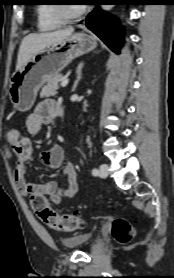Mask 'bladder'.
Segmentation results:
<instances>
[{"mask_svg":"<svg viewBox=\"0 0 174 278\" xmlns=\"http://www.w3.org/2000/svg\"><path fill=\"white\" fill-rule=\"evenodd\" d=\"M93 237L91 232L76 234L62 239V244L67 248H76L89 243Z\"/></svg>","mask_w":174,"mask_h":278,"instance_id":"31cf9c89","label":"bladder"}]
</instances>
